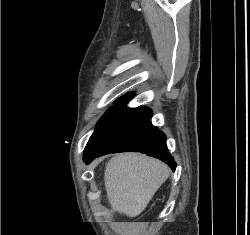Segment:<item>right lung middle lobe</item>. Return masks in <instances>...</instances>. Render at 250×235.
<instances>
[{
	"label": "right lung middle lobe",
	"instance_id": "1",
	"mask_svg": "<svg viewBox=\"0 0 250 235\" xmlns=\"http://www.w3.org/2000/svg\"><path fill=\"white\" fill-rule=\"evenodd\" d=\"M129 98H121L118 101H116L115 105L112 106L106 113L105 115L101 118V120L99 121L97 127L99 125H101L105 120H107L113 113H115L119 107H121L122 105H124L127 101H129Z\"/></svg>",
	"mask_w": 250,
	"mask_h": 235
}]
</instances>
